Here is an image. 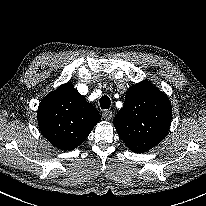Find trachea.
Listing matches in <instances>:
<instances>
[{"mask_svg": "<svg viewBox=\"0 0 206 206\" xmlns=\"http://www.w3.org/2000/svg\"><path fill=\"white\" fill-rule=\"evenodd\" d=\"M111 101L108 96L104 95L100 98V106L102 109H109Z\"/></svg>", "mask_w": 206, "mask_h": 206, "instance_id": "1", "label": "trachea"}]
</instances>
